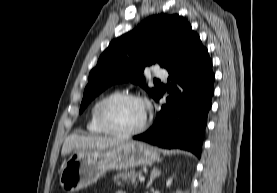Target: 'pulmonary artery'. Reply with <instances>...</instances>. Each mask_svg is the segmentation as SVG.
<instances>
[{"mask_svg":"<svg viewBox=\"0 0 277 193\" xmlns=\"http://www.w3.org/2000/svg\"><path fill=\"white\" fill-rule=\"evenodd\" d=\"M155 76L160 79H166L168 77V72L163 69H159L155 72Z\"/></svg>","mask_w":277,"mask_h":193,"instance_id":"obj_1","label":"pulmonary artery"}]
</instances>
